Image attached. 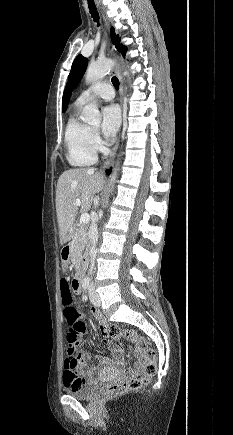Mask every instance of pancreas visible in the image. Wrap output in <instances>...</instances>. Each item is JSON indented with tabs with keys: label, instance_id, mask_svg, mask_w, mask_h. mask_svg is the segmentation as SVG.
Here are the masks:
<instances>
[{
	"label": "pancreas",
	"instance_id": "1",
	"mask_svg": "<svg viewBox=\"0 0 233 435\" xmlns=\"http://www.w3.org/2000/svg\"><path fill=\"white\" fill-rule=\"evenodd\" d=\"M87 230L80 226L71 242V261L75 268L80 269L84 259V249L87 245Z\"/></svg>",
	"mask_w": 233,
	"mask_h": 435
}]
</instances>
